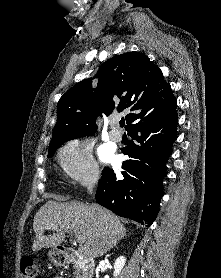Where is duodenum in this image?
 <instances>
[{"instance_id":"410a0bca","label":"duodenum","mask_w":221,"mask_h":278,"mask_svg":"<svg viewBox=\"0 0 221 278\" xmlns=\"http://www.w3.org/2000/svg\"><path fill=\"white\" fill-rule=\"evenodd\" d=\"M58 251L60 252L61 257L66 260L68 263L76 265L78 268L83 270V278H90V276L86 273L93 265V262L89 258L81 257L79 251L77 249L67 247V246H59Z\"/></svg>"}]
</instances>
